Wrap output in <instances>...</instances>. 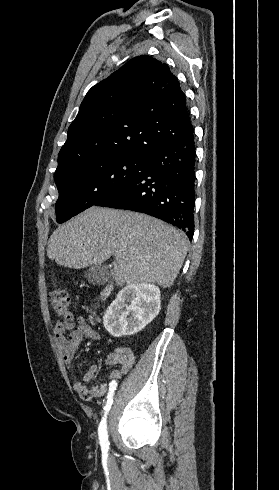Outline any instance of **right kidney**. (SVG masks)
Here are the masks:
<instances>
[{"instance_id":"obj_1","label":"right kidney","mask_w":279,"mask_h":490,"mask_svg":"<svg viewBox=\"0 0 279 490\" xmlns=\"http://www.w3.org/2000/svg\"><path fill=\"white\" fill-rule=\"evenodd\" d=\"M160 298V290L154 284H127L103 316L105 330L114 338L137 334L159 314Z\"/></svg>"}]
</instances>
